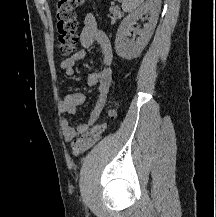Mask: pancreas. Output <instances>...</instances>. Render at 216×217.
<instances>
[{
    "label": "pancreas",
    "mask_w": 216,
    "mask_h": 217,
    "mask_svg": "<svg viewBox=\"0 0 216 217\" xmlns=\"http://www.w3.org/2000/svg\"><path fill=\"white\" fill-rule=\"evenodd\" d=\"M109 10L113 14V17L109 16L112 20L111 23L114 24L116 19L121 18L123 14L118 7H111Z\"/></svg>",
    "instance_id": "pancreas-1"
}]
</instances>
